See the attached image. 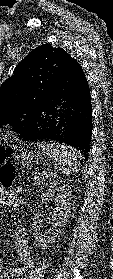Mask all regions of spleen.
<instances>
[{"mask_svg": "<svg viewBox=\"0 0 113 279\" xmlns=\"http://www.w3.org/2000/svg\"><path fill=\"white\" fill-rule=\"evenodd\" d=\"M37 146L54 160L55 166L65 175L74 172L82 159L81 153L71 146L48 142H38Z\"/></svg>", "mask_w": 113, "mask_h": 279, "instance_id": "3e777b00", "label": "spleen"}]
</instances>
